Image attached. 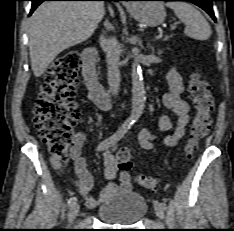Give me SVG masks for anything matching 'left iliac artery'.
<instances>
[{"instance_id":"1","label":"left iliac artery","mask_w":234,"mask_h":231,"mask_svg":"<svg viewBox=\"0 0 234 231\" xmlns=\"http://www.w3.org/2000/svg\"><path fill=\"white\" fill-rule=\"evenodd\" d=\"M160 205H161V207H162L164 210L167 208V205H166V203H164V202H161Z\"/></svg>"}]
</instances>
